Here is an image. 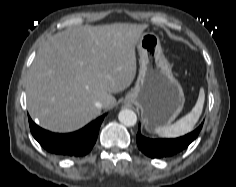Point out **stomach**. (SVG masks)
<instances>
[{"instance_id": "1", "label": "stomach", "mask_w": 236, "mask_h": 187, "mask_svg": "<svg viewBox=\"0 0 236 187\" xmlns=\"http://www.w3.org/2000/svg\"><path fill=\"white\" fill-rule=\"evenodd\" d=\"M136 46L139 74L123 102L141 110L145 128L152 132L175 120L183 109L185 97L163 54L159 37L152 32L143 33Z\"/></svg>"}]
</instances>
